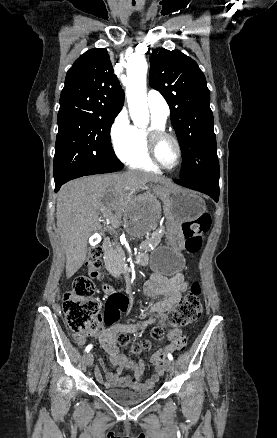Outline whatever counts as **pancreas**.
<instances>
[{
	"mask_svg": "<svg viewBox=\"0 0 277 438\" xmlns=\"http://www.w3.org/2000/svg\"><path fill=\"white\" fill-rule=\"evenodd\" d=\"M119 233L111 231L108 234L110 241L107 250L105 252V261L104 264L107 267V270H120V267H127L129 264L128 257L129 254L127 251H119L120 247L118 244L113 241L114 239L119 238ZM161 238L160 231H151L148 233L146 241L144 244H139L137 250L139 253H148L150 248H158L159 241Z\"/></svg>",
	"mask_w": 277,
	"mask_h": 438,
	"instance_id": "pancreas-1",
	"label": "pancreas"
}]
</instances>
